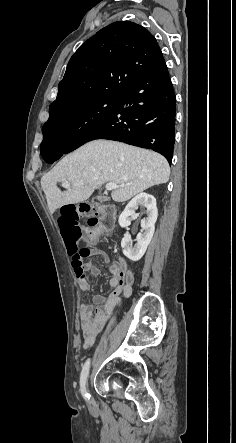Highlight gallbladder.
<instances>
[{
    "instance_id": "bac80fb5",
    "label": "gallbladder",
    "mask_w": 236,
    "mask_h": 443,
    "mask_svg": "<svg viewBox=\"0 0 236 443\" xmlns=\"http://www.w3.org/2000/svg\"><path fill=\"white\" fill-rule=\"evenodd\" d=\"M97 199H98L99 201H105L106 197H105V196H101V195H99V196H97Z\"/></svg>"
}]
</instances>
